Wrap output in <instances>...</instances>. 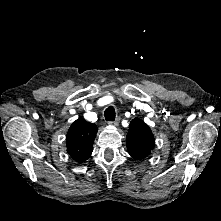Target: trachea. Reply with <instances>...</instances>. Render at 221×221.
Masks as SVG:
<instances>
[{
	"instance_id": "1",
	"label": "trachea",
	"mask_w": 221,
	"mask_h": 221,
	"mask_svg": "<svg viewBox=\"0 0 221 221\" xmlns=\"http://www.w3.org/2000/svg\"><path fill=\"white\" fill-rule=\"evenodd\" d=\"M105 119L107 121H114L116 117V112L113 107H108L104 112Z\"/></svg>"
}]
</instances>
